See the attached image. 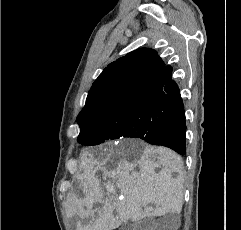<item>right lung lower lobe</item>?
Returning <instances> with one entry per match:
<instances>
[{
    "label": "right lung lower lobe",
    "mask_w": 241,
    "mask_h": 230,
    "mask_svg": "<svg viewBox=\"0 0 241 230\" xmlns=\"http://www.w3.org/2000/svg\"><path fill=\"white\" fill-rule=\"evenodd\" d=\"M169 67L159 95L145 110L144 117L150 120L148 127L136 133H123V136L136 137L153 145L166 146L179 154L186 152L185 111L179 88L171 78Z\"/></svg>",
    "instance_id": "right-lung-lower-lobe-1"
}]
</instances>
